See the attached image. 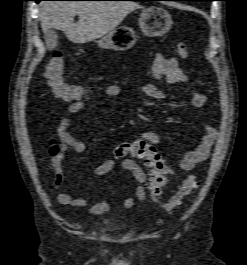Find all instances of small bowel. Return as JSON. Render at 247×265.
<instances>
[{"label": "small bowel", "mask_w": 247, "mask_h": 265, "mask_svg": "<svg viewBox=\"0 0 247 265\" xmlns=\"http://www.w3.org/2000/svg\"><path fill=\"white\" fill-rule=\"evenodd\" d=\"M152 73L155 79L165 81L172 85L185 84L190 81L189 76L180 68L176 58H167L162 54L156 55L152 64ZM123 90L122 86L111 84L104 89L103 94L108 98H113L119 96ZM141 91L145 96L155 100H161L165 97L161 90L150 83L144 84L141 87ZM189 102L196 108H203L207 105L208 97L202 93L192 92L189 96ZM86 103L83 101L72 102L68 106L67 112L69 114L78 113L84 109ZM70 123L68 117L62 118L57 128L58 139L53 138L49 141L48 152L52 158L53 182L56 188L63 182L61 162L65 157L66 151L73 149L76 152H83L86 149V143L69 131ZM217 136V130L212 125L207 124L205 126V134L202 136L199 144L195 149L185 153L180 160V169L182 171H191L196 165L205 161L209 156ZM138 137L139 139L136 141H142L152 145L162 143V137L152 130L140 131ZM115 166L116 161L114 159H106L94 169L93 173L96 176H103L111 172ZM121 167L135 179V196L139 202H143L146 198V183L148 181L146 172L135 160L130 158L123 160ZM58 202L62 205L81 208L89 205L90 200L88 198H75L72 194L64 192L58 195ZM134 203V198L129 196L124 200L123 206L130 208ZM109 209L110 205L107 201H98L89 207V212L93 215H101L108 212Z\"/></svg>", "instance_id": "obj_1"}]
</instances>
